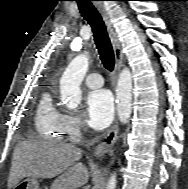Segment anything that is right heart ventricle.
<instances>
[{"instance_id":"obj_1","label":"right heart ventricle","mask_w":188,"mask_h":189,"mask_svg":"<svg viewBox=\"0 0 188 189\" xmlns=\"http://www.w3.org/2000/svg\"><path fill=\"white\" fill-rule=\"evenodd\" d=\"M66 115L54 104L50 92H44L37 105L35 127L37 132L51 140H62L67 133Z\"/></svg>"}]
</instances>
